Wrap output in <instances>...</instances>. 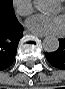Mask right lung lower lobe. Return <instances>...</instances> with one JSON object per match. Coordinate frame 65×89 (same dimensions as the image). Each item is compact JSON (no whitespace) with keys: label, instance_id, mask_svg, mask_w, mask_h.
Wrapping results in <instances>:
<instances>
[{"label":"right lung lower lobe","instance_id":"obj_1","mask_svg":"<svg viewBox=\"0 0 65 89\" xmlns=\"http://www.w3.org/2000/svg\"><path fill=\"white\" fill-rule=\"evenodd\" d=\"M23 26L16 19L0 18V71L9 68L23 37Z\"/></svg>","mask_w":65,"mask_h":89}]
</instances>
